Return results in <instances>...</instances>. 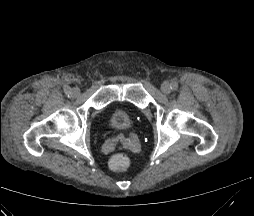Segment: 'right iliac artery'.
<instances>
[{
	"label": "right iliac artery",
	"mask_w": 254,
	"mask_h": 216,
	"mask_svg": "<svg viewBox=\"0 0 254 216\" xmlns=\"http://www.w3.org/2000/svg\"><path fill=\"white\" fill-rule=\"evenodd\" d=\"M64 92L66 93V94H71V88L70 87H65L64 88Z\"/></svg>",
	"instance_id": "82829eb1"
}]
</instances>
